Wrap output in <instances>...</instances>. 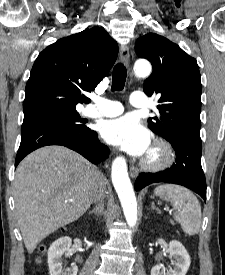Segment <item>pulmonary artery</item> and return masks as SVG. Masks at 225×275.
<instances>
[{"label":"pulmonary artery","mask_w":225,"mask_h":275,"mask_svg":"<svg viewBox=\"0 0 225 275\" xmlns=\"http://www.w3.org/2000/svg\"><path fill=\"white\" fill-rule=\"evenodd\" d=\"M130 104L137 108L149 106L147 96L143 92H134L130 97ZM124 111L123 105L118 101L100 99L97 104L88 106L83 113L88 117H113Z\"/></svg>","instance_id":"e3ab8cb5"}]
</instances>
